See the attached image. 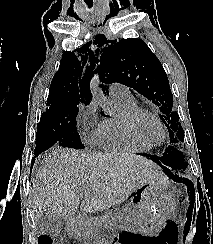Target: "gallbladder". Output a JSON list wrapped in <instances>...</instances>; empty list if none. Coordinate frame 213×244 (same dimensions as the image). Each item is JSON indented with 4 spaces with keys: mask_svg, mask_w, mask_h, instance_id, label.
I'll use <instances>...</instances> for the list:
<instances>
[{
    "mask_svg": "<svg viewBox=\"0 0 213 244\" xmlns=\"http://www.w3.org/2000/svg\"><path fill=\"white\" fill-rule=\"evenodd\" d=\"M64 225V218L51 213L43 214L38 222V231L49 236H57Z\"/></svg>",
    "mask_w": 213,
    "mask_h": 244,
    "instance_id": "1",
    "label": "gallbladder"
}]
</instances>
